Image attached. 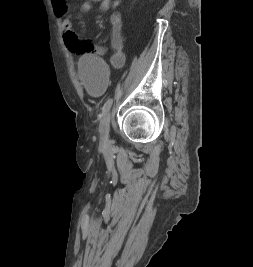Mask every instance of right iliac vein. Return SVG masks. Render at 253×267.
Wrapping results in <instances>:
<instances>
[{
	"label": "right iliac vein",
	"instance_id": "obj_1",
	"mask_svg": "<svg viewBox=\"0 0 253 267\" xmlns=\"http://www.w3.org/2000/svg\"><path fill=\"white\" fill-rule=\"evenodd\" d=\"M112 113H107L100 124V135L101 141L104 144H108L109 141V128H110V120H111Z\"/></svg>",
	"mask_w": 253,
	"mask_h": 267
}]
</instances>
